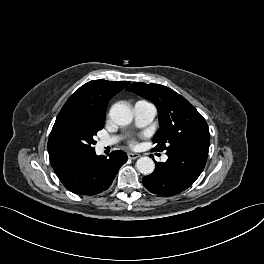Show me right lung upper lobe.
Wrapping results in <instances>:
<instances>
[{
	"mask_svg": "<svg viewBox=\"0 0 264 264\" xmlns=\"http://www.w3.org/2000/svg\"><path fill=\"white\" fill-rule=\"evenodd\" d=\"M128 84V81L115 82L105 80H93L84 84L64 104L51 133L60 121L67 117L104 124L108 101Z\"/></svg>",
	"mask_w": 264,
	"mask_h": 264,
	"instance_id": "obj_1",
	"label": "right lung upper lobe"
}]
</instances>
